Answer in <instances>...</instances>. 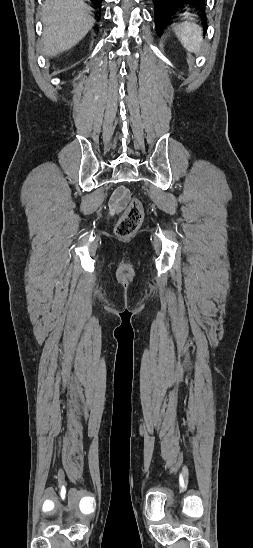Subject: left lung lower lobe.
<instances>
[{
	"label": "left lung lower lobe",
	"mask_w": 253,
	"mask_h": 548,
	"mask_svg": "<svg viewBox=\"0 0 253 548\" xmlns=\"http://www.w3.org/2000/svg\"><path fill=\"white\" fill-rule=\"evenodd\" d=\"M154 2V16L157 33L161 34L165 27L170 23V16L174 14L178 7L184 5L199 10L202 14H205L206 0H153ZM203 26H206L205 20Z\"/></svg>",
	"instance_id": "left-lung-lower-lobe-1"
}]
</instances>
